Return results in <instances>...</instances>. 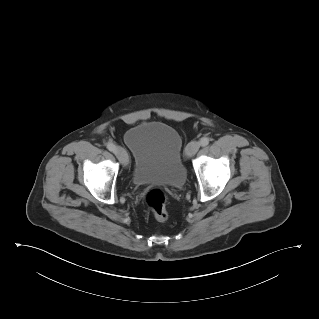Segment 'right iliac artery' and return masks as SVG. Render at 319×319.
I'll use <instances>...</instances> for the list:
<instances>
[{
  "label": "right iliac artery",
  "instance_id": "right-iliac-artery-1",
  "mask_svg": "<svg viewBox=\"0 0 319 319\" xmlns=\"http://www.w3.org/2000/svg\"><path fill=\"white\" fill-rule=\"evenodd\" d=\"M106 147H107V149H108L109 151L115 153V151H116V146H115L114 144H112V143H107V144H106Z\"/></svg>",
  "mask_w": 319,
  "mask_h": 319
}]
</instances>
